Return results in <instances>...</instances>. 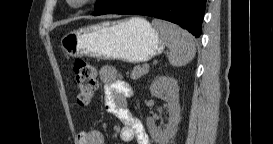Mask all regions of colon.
Instances as JSON below:
<instances>
[{
  "label": "colon",
  "instance_id": "5ec220e1",
  "mask_svg": "<svg viewBox=\"0 0 273 144\" xmlns=\"http://www.w3.org/2000/svg\"><path fill=\"white\" fill-rule=\"evenodd\" d=\"M74 77L77 85V100L80 105L90 103L97 89V74L93 66L82 59L74 62Z\"/></svg>",
  "mask_w": 273,
  "mask_h": 144
}]
</instances>
